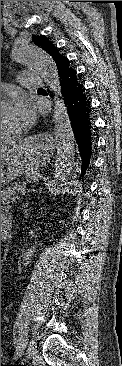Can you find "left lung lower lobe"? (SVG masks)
Wrapping results in <instances>:
<instances>
[{"instance_id": "obj_1", "label": "left lung lower lobe", "mask_w": 122, "mask_h": 366, "mask_svg": "<svg viewBox=\"0 0 122 366\" xmlns=\"http://www.w3.org/2000/svg\"><path fill=\"white\" fill-rule=\"evenodd\" d=\"M60 76V84L73 132L76 135L79 154L81 156L80 177L86 174L89 168L91 155L94 149L93 130L91 123V103L86 96V89L79 81L76 70L70 66L67 57H62L56 63Z\"/></svg>"}]
</instances>
